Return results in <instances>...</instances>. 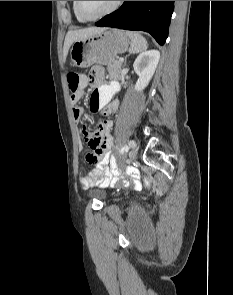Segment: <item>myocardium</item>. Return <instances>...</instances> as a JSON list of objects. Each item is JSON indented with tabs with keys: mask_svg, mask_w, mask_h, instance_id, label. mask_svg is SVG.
Wrapping results in <instances>:
<instances>
[{
	"mask_svg": "<svg viewBox=\"0 0 233 295\" xmlns=\"http://www.w3.org/2000/svg\"><path fill=\"white\" fill-rule=\"evenodd\" d=\"M122 2L123 1H115V3L108 10H106L105 12H103V13H101L99 15H96V16H87V15H85L81 10L80 1H75V10H76L77 14L83 20H85V21H94V20L103 18L105 16H108V15L114 13L121 6Z\"/></svg>",
	"mask_w": 233,
	"mask_h": 295,
	"instance_id": "f54148a6",
	"label": "myocardium"
}]
</instances>
